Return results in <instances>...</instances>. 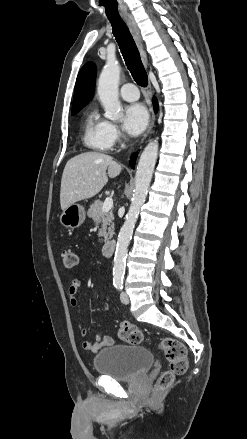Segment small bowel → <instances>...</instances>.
Segmentation results:
<instances>
[{
  "instance_id": "1",
  "label": "small bowel",
  "mask_w": 247,
  "mask_h": 439,
  "mask_svg": "<svg viewBox=\"0 0 247 439\" xmlns=\"http://www.w3.org/2000/svg\"><path fill=\"white\" fill-rule=\"evenodd\" d=\"M81 287H82V281L80 279L75 278L71 281V284H70L69 289H68V293H69V297H70V305L72 307L77 306L76 294L79 292ZM103 310L109 311V305L105 304L103 306ZM87 333H88V331H87L86 327L82 326L80 328V335L82 337H86ZM114 343H115V340L113 337L108 336V335H104L103 332H100V333L96 334V341H90V340L84 341L82 343V346L87 351L97 352L102 347L111 346Z\"/></svg>"
}]
</instances>
